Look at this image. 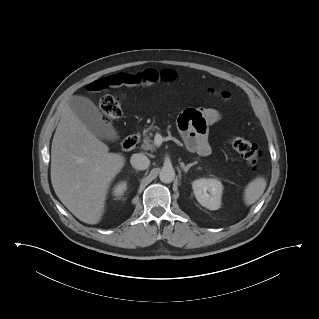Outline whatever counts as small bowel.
Instances as JSON below:
<instances>
[{"label": "small bowel", "instance_id": "1", "mask_svg": "<svg viewBox=\"0 0 319 319\" xmlns=\"http://www.w3.org/2000/svg\"><path fill=\"white\" fill-rule=\"evenodd\" d=\"M176 77L175 72L171 70L158 72L155 69H145L137 75L123 76L116 74L105 79L96 80L89 85V89L98 92L105 88L117 87L122 84L148 87L157 81L170 83ZM220 119V113L213 108L185 109L178 119V128L185 146L200 156H208L211 153V146L207 136L208 127L217 123Z\"/></svg>", "mask_w": 319, "mask_h": 319}]
</instances>
